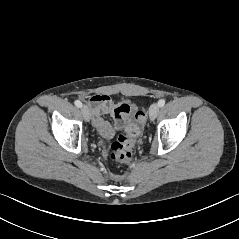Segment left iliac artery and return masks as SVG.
I'll list each match as a JSON object with an SVG mask.
<instances>
[{
	"label": "left iliac artery",
	"instance_id": "1",
	"mask_svg": "<svg viewBox=\"0 0 239 239\" xmlns=\"http://www.w3.org/2000/svg\"><path fill=\"white\" fill-rule=\"evenodd\" d=\"M158 105L159 107H163L165 105V100L164 99L159 100Z\"/></svg>",
	"mask_w": 239,
	"mask_h": 239
}]
</instances>
